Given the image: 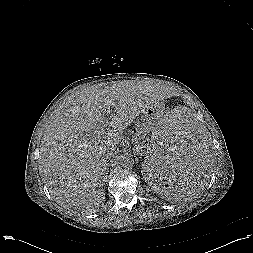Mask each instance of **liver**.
I'll list each match as a JSON object with an SVG mask.
<instances>
[{
	"mask_svg": "<svg viewBox=\"0 0 253 253\" xmlns=\"http://www.w3.org/2000/svg\"><path fill=\"white\" fill-rule=\"evenodd\" d=\"M160 87L133 81L92 85L75 93L51 118L38 166L54 201L94 213L105 202L106 155L124 130L160 99ZM111 129L107 131L104 127ZM101 129V130H100ZM100 130L101 135L94 132Z\"/></svg>",
	"mask_w": 253,
	"mask_h": 253,
	"instance_id": "6515ba94",
	"label": "liver"
}]
</instances>
